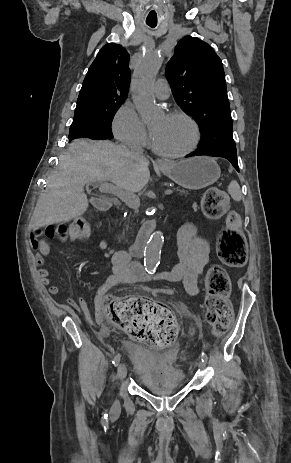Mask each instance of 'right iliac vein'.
<instances>
[{
    "label": "right iliac vein",
    "instance_id": "right-iliac-vein-1",
    "mask_svg": "<svg viewBox=\"0 0 291 463\" xmlns=\"http://www.w3.org/2000/svg\"><path fill=\"white\" fill-rule=\"evenodd\" d=\"M117 374H118V377L120 380H123L126 375H127V368H126V365L124 363H120L119 366H118V369H117ZM119 406V402L118 400L115 401L113 407L114 409L118 408Z\"/></svg>",
    "mask_w": 291,
    "mask_h": 463
}]
</instances>
